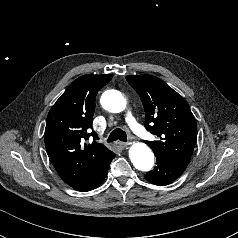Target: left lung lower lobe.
<instances>
[{
  "label": "left lung lower lobe",
  "mask_w": 238,
  "mask_h": 238,
  "mask_svg": "<svg viewBox=\"0 0 238 238\" xmlns=\"http://www.w3.org/2000/svg\"><path fill=\"white\" fill-rule=\"evenodd\" d=\"M156 164L157 166L145 174L144 177L155 185L164 186L180 177L188 162L165 156H156Z\"/></svg>",
  "instance_id": "0a47b994"
}]
</instances>
